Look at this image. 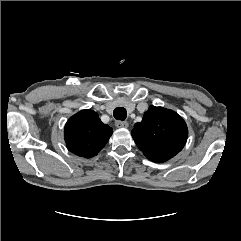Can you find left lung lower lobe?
<instances>
[{
  "label": "left lung lower lobe",
  "instance_id": "obj_1",
  "mask_svg": "<svg viewBox=\"0 0 241 241\" xmlns=\"http://www.w3.org/2000/svg\"><path fill=\"white\" fill-rule=\"evenodd\" d=\"M154 162L161 163V162H165V161H154Z\"/></svg>",
  "mask_w": 241,
  "mask_h": 241
}]
</instances>
